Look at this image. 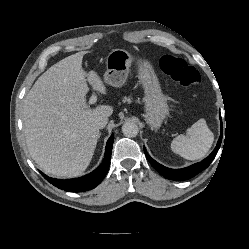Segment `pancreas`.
<instances>
[{
	"label": "pancreas",
	"instance_id": "cf45deb5",
	"mask_svg": "<svg viewBox=\"0 0 249 249\" xmlns=\"http://www.w3.org/2000/svg\"><path fill=\"white\" fill-rule=\"evenodd\" d=\"M123 102H132V98L131 97H124L123 98Z\"/></svg>",
	"mask_w": 249,
	"mask_h": 249
}]
</instances>
